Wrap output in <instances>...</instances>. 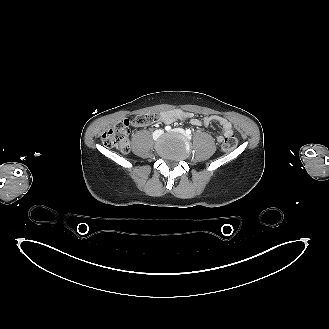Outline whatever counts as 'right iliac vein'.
<instances>
[{"mask_svg": "<svg viewBox=\"0 0 329 329\" xmlns=\"http://www.w3.org/2000/svg\"><path fill=\"white\" fill-rule=\"evenodd\" d=\"M161 134H162V130H157V131H155L153 137H154L155 139H157Z\"/></svg>", "mask_w": 329, "mask_h": 329, "instance_id": "obj_1", "label": "right iliac vein"}]
</instances>
